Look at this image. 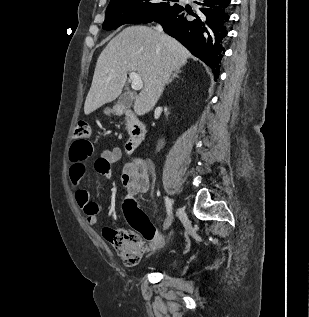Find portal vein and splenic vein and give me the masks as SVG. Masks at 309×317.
Masks as SVG:
<instances>
[{"mask_svg": "<svg viewBox=\"0 0 309 317\" xmlns=\"http://www.w3.org/2000/svg\"><path fill=\"white\" fill-rule=\"evenodd\" d=\"M130 80H131V87L133 90H140L143 87V82L139 74L136 72H131L129 74Z\"/></svg>", "mask_w": 309, "mask_h": 317, "instance_id": "obj_1", "label": "portal vein and splenic vein"}]
</instances>
